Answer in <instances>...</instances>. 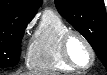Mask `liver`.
<instances>
[{"label":"liver","instance_id":"liver-1","mask_svg":"<svg viewBox=\"0 0 107 75\" xmlns=\"http://www.w3.org/2000/svg\"><path fill=\"white\" fill-rule=\"evenodd\" d=\"M13 75H34V74H31V73H29V72H27V73H20V72H16L15 74H13Z\"/></svg>","mask_w":107,"mask_h":75}]
</instances>
